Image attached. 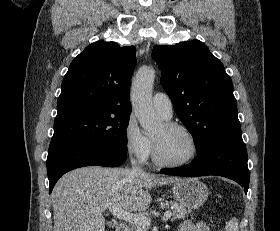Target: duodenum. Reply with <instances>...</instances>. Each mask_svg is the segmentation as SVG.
I'll use <instances>...</instances> for the list:
<instances>
[{
    "mask_svg": "<svg viewBox=\"0 0 280 231\" xmlns=\"http://www.w3.org/2000/svg\"><path fill=\"white\" fill-rule=\"evenodd\" d=\"M115 231H128V227L125 224H119Z\"/></svg>",
    "mask_w": 280,
    "mask_h": 231,
    "instance_id": "obj_1",
    "label": "duodenum"
}]
</instances>
